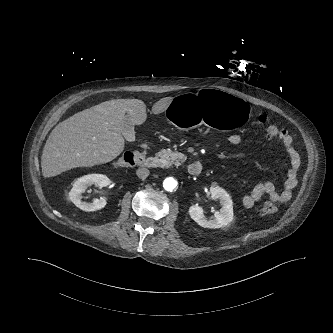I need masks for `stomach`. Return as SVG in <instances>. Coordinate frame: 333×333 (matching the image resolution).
I'll use <instances>...</instances> for the list:
<instances>
[{"label":"stomach","mask_w":333,"mask_h":333,"mask_svg":"<svg viewBox=\"0 0 333 333\" xmlns=\"http://www.w3.org/2000/svg\"><path fill=\"white\" fill-rule=\"evenodd\" d=\"M169 121L179 128H190L199 121L217 131L239 130L250 121L251 109L242 98L225 93L201 91L174 97L168 104Z\"/></svg>","instance_id":"stomach-1"}]
</instances>
